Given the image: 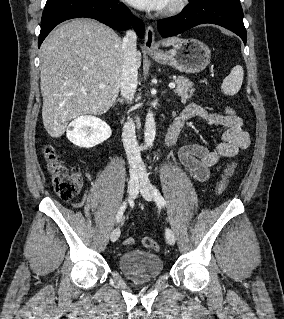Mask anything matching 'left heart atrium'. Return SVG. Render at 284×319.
<instances>
[{"instance_id":"left-heart-atrium-1","label":"left heart atrium","mask_w":284,"mask_h":319,"mask_svg":"<svg viewBox=\"0 0 284 319\" xmlns=\"http://www.w3.org/2000/svg\"><path fill=\"white\" fill-rule=\"evenodd\" d=\"M130 5L141 10H162L169 0H125Z\"/></svg>"}]
</instances>
